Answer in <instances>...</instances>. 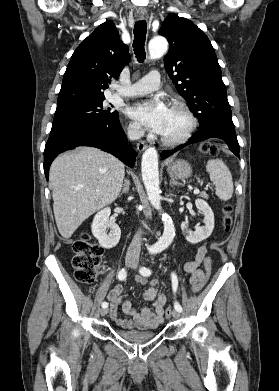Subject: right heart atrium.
Returning <instances> with one entry per match:
<instances>
[{
  "label": "right heart atrium",
  "instance_id": "right-heart-atrium-1",
  "mask_svg": "<svg viewBox=\"0 0 279 391\" xmlns=\"http://www.w3.org/2000/svg\"><path fill=\"white\" fill-rule=\"evenodd\" d=\"M127 133L130 137L135 138L140 134V128L135 123H129L127 125Z\"/></svg>",
  "mask_w": 279,
  "mask_h": 391
}]
</instances>
